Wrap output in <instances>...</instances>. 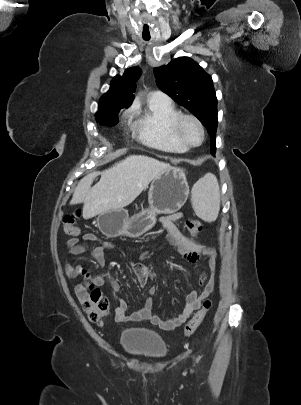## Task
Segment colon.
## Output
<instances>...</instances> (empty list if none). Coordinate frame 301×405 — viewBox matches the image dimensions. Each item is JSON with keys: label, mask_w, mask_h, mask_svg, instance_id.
<instances>
[{"label": "colon", "mask_w": 301, "mask_h": 405, "mask_svg": "<svg viewBox=\"0 0 301 405\" xmlns=\"http://www.w3.org/2000/svg\"><path fill=\"white\" fill-rule=\"evenodd\" d=\"M80 212L66 214L62 219L63 229L66 234L77 236L80 230L77 226V220ZM185 226L190 234L195 236L203 229V223L197 219H188L185 221ZM85 276H88L84 272ZM82 292L81 304L88 318L95 323L102 322L109 313V302L102 292L93 284L84 282L78 285ZM212 302L209 299L204 300L202 307L195 313L191 320L187 323L184 329L185 336L192 335L204 320L206 314L210 310Z\"/></svg>", "instance_id": "obj_1"}]
</instances>
